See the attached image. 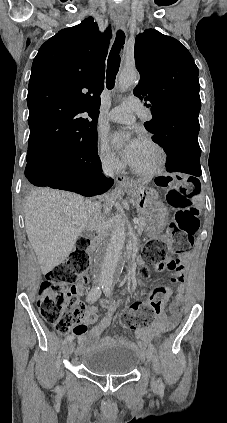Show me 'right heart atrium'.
I'll use <instances>...</instances> for the list:
<instances>
[{"instance_id": "d8ad5b80", "label": "right heart atrium", "mask_w": 227, "mask_h": 423, "mask_svg": "<svg viewBox=\"0 0 227 423\" xmlns=\"http://www.w3.org/2000/svg\"><path fill=\"white\" fill-rule=\"evenodd\" d=\"M97 157L102 168L109 173H119L123 169V163L103 137L98 139Z\"/></svg>"}]
</instances>
